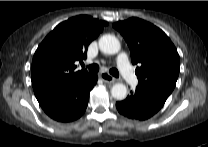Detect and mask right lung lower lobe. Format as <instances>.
<instances>
[{
	"instance_id": "98d812e1",
	"label": "right lung lower lobe",
	"mask_w": 208,
	"mask_h": 147,
	"mask_svg": "<svg viewBox=\"0 0 208 147\" xmlns=\"http://www.w3.org/2000/svg\"><path fill=\"white\" fill-rule=\"evenodd\" d=\"M97 75H88L69 90L39 100L45 113L56 121L71 122L83 115L89 93L97 83Z\"/></svg>"
}]
</instances>
